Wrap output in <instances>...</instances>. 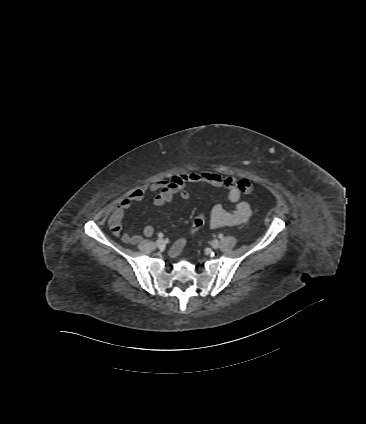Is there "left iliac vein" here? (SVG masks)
<instances>
[{"mask_svg": "<svg viewBox=\"0 0 366 424\" xmlns=\"http://www.w3.org/2000/svg\"><path fill=\"white\" fill-rule=\"evenodd\" d=\"M220 246V241L219 240H213L212 241V247L214 248V249H217L218 247Z\"/></svg>", "mask_w": 366, "mask_h": 424, "instance_id": "left-iliac-vein-1", "label": "left iliac vein"}]
</instances>
